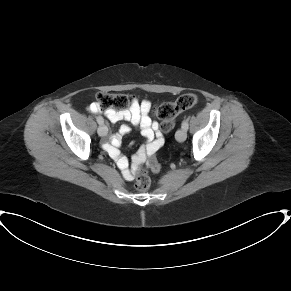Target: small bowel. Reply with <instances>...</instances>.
<instances>
[{
	"mask_svg": "<svg viewBox=\"0 0 291 291\" xmlns=\"http://www.w3.org/2000/svg\"><path fill=\"white\" fill-rule=\"evenodd\" d=\"M89 110L93 113L101 112L98 104L95 102L90 105ZM151 111L152 103L145 99H134L131 106L126 109H108L104 111L105 116L111 122L128 121L132 125L139 126L142 135L147 141L146 147L141 148L139 153L133 158L131 167L129 166L128 160L120 156L117 150L121 137L130 131L129 125H121L118 132L112 134L109 141L105 143V149L116 159L122 172V176L127 181L133 180L137 174L134 159L139 158L143 161L146 155H151L154 144H158L159 148L163 145V138L159 129V124L152 120L150 116Z\"/></svg>",
	"mask_w": 291,
	"mask_h": 291,
	"instance_id": "1",
	"label": "small bowel"
}]
</instances>
